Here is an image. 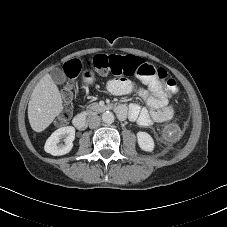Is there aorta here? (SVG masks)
<instances>
[{
    "label": "aorta",
    "instance_id": "1",
    "mask_svg": "<svg viewBox=\"0 0 227 227\" xmlns=\"http://www.w3.org/2000/svg\"><path fill=\"white\" fill-rule=\"evenodd\" d=\"M102 121L106 124H111L114 121V114L110 111H106L101 115Z\"/></svg>",
    "mask_w": 227,
    "mask_h": 227
}]
</instances>
